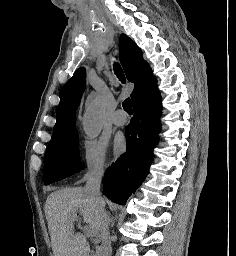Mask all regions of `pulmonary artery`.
<instances>
[{"label":"pulmonary artery","instance_id":"pulmonary-artery-1","mask_svg":"<svg viewBox=\"0 0 236 256\" xmlns=\"http://www.w3.org/2000/svg\"><path fill=\"white\" fill-rule=\"evenodd\" d=\"M112 122H113L116 126H123V125L126 124L127 120L114 117V118H112Z\"/></svg>","mask_w":236,"mask_h":256}]
</instances>
